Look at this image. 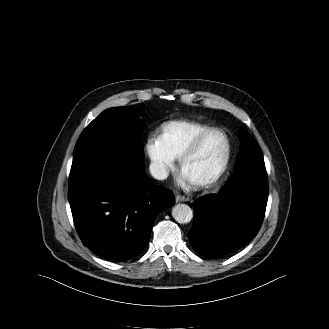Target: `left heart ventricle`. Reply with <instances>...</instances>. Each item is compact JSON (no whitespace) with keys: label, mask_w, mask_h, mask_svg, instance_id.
Segmentation results:
<instances>
[{"label":"left heart ventricle","mask_w":329,"mask_h":329,"mask_svg":"<svg viewBox=\"0 0 329 329\" xmlns=\"http://www.w3.org/2000/svg\"><path fill=\"white\" fill-rule=\"evenodd\" d=\"M225 151V137L221 133L209 135L201 143L197 153L186 162L182 173L192 183L208 179L220 167Z\"/></svg>","instance_id":"left-heart-ventricle-1"}]
</instances>
